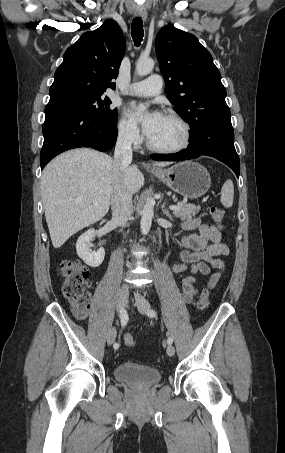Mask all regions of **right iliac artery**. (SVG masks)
Listing matches in <instances>:
<instances>
[{"instance_id": "right-iliac-artery-1", "label": "right iliac artery", "mask_w": 285, "mask_h": 453, "mask_svg": "<svg viewBox=\"0 0 285 453\" xmlns=\"http://www.w3.org/2000/svg\"><path fill=\"white\" fill-rule=\"evenodd\" d=\"M119 316H120V320H121V326L122 327H125L126 324H127V321H128V315H127V312L124 308H121L119 310ZM119 348V344L118 343H115L114 344V349H118Z\"/></svg>"}]
</instances>
